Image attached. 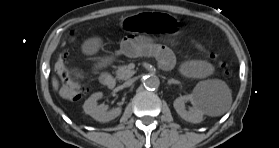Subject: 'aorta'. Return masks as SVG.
Wrapping results in <instances>:
<instances>
[{
    "instance_id": "1",
    "label": "aorta",
    "mask_w": 279,
    "mask_h": 148,
    "mask_svg": "<svg viewBox=\"0 0 279 148\" xmlns=\"http://www.w3.org/2000/svg\"><path fill=\"white\" fill-rule=\"evenodd\" d=\"M159 85H160V80L155 75H149L144 79V86L147 89L155 90L159 87Z\"/></svg>"
}]
</instances>
